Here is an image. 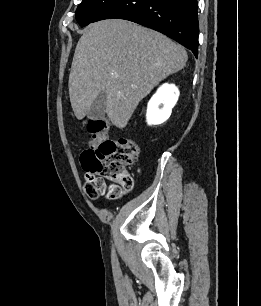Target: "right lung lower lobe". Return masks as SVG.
I'll use <instances>...</instances> for the list:
<instances>
[{"label": "right lung lower lobe", "mask_w": 261, "mask_h": 306, "mask_svg": "<svg viewBox=\"0 0 261 306\" xmlns=\"http://www.w3.org/2000/svg\"><path fill=\"white\" fill-rule=\"evenodd\" d=\"M115 18L159 31L198 55L197 0H115L93 22Z\"/></svg>", "instance_id": "obj_1"}]
</instances>
